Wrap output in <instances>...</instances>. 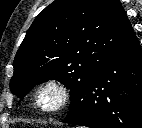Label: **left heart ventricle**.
I'll list each match as a JSON object with an SVG mask.
<instances>
[{"instance_id":"obj_1","label":"left heart ventricle","mask_w":142,"mask_h":128,"mask_svg":"<svg viewBox=\"0 0 142 128\" xmlns=\"http://www.w3.org/2000/svg\"><path fill=\"white\" fill-rule=\"evenodd\" d=\"M56 101V97L54 93L48 92L43 96L42 103L44 106L49 107L52 106Z\"/></svg>"}]
</instances>
